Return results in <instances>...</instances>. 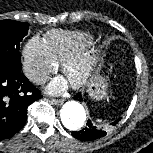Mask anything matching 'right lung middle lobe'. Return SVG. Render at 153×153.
<instances>
[{"label": "right lung middle lobe", "instance_id": "obj_1", "mask_svg": "<svg viewBox=\"0 0 153 153\" xmlns=\"http://www.w3.org/2000/svg\"><path fill=\"white\" fill-rule=\"evenodd\" d=\"M28 23L14 20L0 21V63L22 68L19 53L20 42L27 35Z\"/></svg>", "mask_w": 153, "mask_h": 153}]
</instances>
